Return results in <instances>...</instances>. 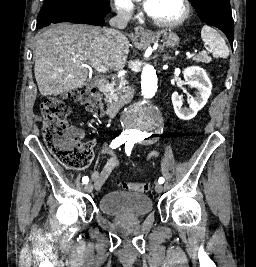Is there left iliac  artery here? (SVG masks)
I'll list each match as a JSON object with an SVG mask.
<instances>
[{
  "mask_svg": "<svg viewBox=\"0 0 256 267\" xmlns=\"http://www.w3.org/2000/svg\"><path fill=\"white\" fill-rule=\"evenodd\" d=\"M134 144H135V142H134L133 140H131V139H128L127 143L125 144V152H126V154H127L128 156H130V154H131V150H132ZM164 181H165V180H164L163 177H160V178L158 179V183H160V184H163Z\"/></svg>",
  "mask_w": 256,
  "mask_h": 267,
  "instance_id": "1",
  "label": "left iliac artery"
}]
</instances>
